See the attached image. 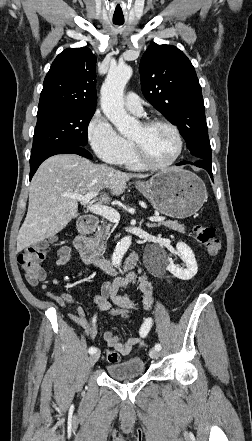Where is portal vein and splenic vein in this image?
Returning a JSON list of instances; mask_svg holds the SVG:
<instances>
[{"label":"portal vein and splenic vein","mask_w":252,"mask_h":441,"mask_svg":"<svg viewBox=\"0 0 252 441\" xmlns=\"http://www.w3.org/2000/svg\"><path fill=\"white\" fill-rule=\"evenodd\" d=\"M97 195H98L97 192H91V193H88L84 196L69 195V197L82 202L85 206H87V210H89L90 212H92L96 215H100L112 223H118L120 220V215L115 209H112V208H109L106 206H102L99 204H91L90 203L91 199L96 197ZM149 220L152 222H162L165 220V217L155 216V217H150Z\"/></svg>","instance_id":"portal-vein-and-splenic-vein-1"}]
</instances>
